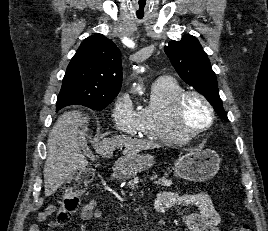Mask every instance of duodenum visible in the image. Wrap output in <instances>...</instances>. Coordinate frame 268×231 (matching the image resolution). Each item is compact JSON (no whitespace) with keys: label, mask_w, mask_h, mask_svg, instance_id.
<instances>
[{"label":"duodenum","mask_w":268,"mask_h":231,"mask_svg":"<svg viewBox=\"0 0 268 231\" xmlns=\"http://www.w3.org/2000/svg\"><path fill=\"white\" fill-rule=\"evenodd\" d=\"M117 176H118L117 173H113V174H112V178H113V179L117 178Z\"/></svg>","instance_id":"obj_1"}]
</instances>
